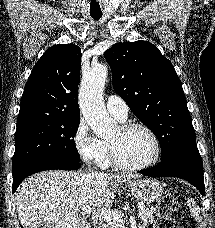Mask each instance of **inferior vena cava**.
Listing matches in <instances>:
<instances>
[{"label":"inferior vena cava","instance_id":"602c4592","mask_svg":"<svg viewBox=\"0 0 215 228\" xmlns=\"http://www.w3.org/2000/svg\"><path fill=\"white\" fill-rule=\"evenodd\" d=\"M87 172H90L89 166L86 168ZM91 176H99V174H96V172H91Z\"/></svg>","mask_w":215,"mask_h":228}]
</instances>
